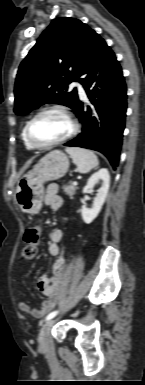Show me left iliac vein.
<instances>
[{
  "label": "left iliac vein",
  "instance_id": "left-iliac-vein-1",
  "mask_svg": "<svg viewBox=\"0 0 145 385\" xmlns=\"http://www.w3.org/2000/svg\"><path fill=\"white\" fill-rule=\"evenodd\" d=\"M56 319H49L47 320L40 329L39 337H38V342L40 347H46L48 344V335L50 333V330L52 326L54 325Z\"/></svg>",
  "mask_w": 145,
  "mask_h": 385
}]
</instances>
